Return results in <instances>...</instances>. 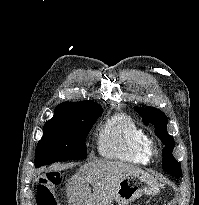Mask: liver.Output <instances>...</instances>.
Returning a JSON list of instances; mask_svg holds the SVG:
<instances>
[{"label": "liver", "instance_id": "1", "mask_svg": "<svg viewBox=\"0 0 199 205\" xmlns=\"http://www.w3.org/2000/svg\"><path fill=\"white\" fill-rule=\"evenodd\" d=\"M140 173L145 172L123 162L97 160L86 163L68 180L69 205H112L123 178Z\"/></svg>", "mask_w": 199, "mask_h": 205}]
</instances>
